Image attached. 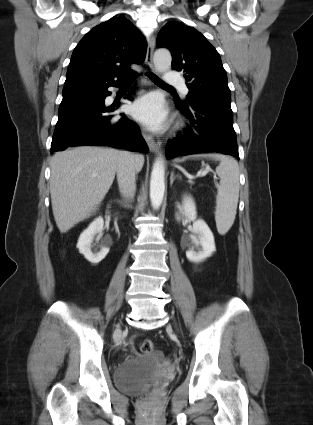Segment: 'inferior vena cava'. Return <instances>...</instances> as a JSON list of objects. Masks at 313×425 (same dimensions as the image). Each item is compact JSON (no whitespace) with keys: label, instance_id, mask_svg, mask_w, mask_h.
Returning <instances> with one entry per match:
<instances>
[{"label":"inferior vena cava","instance_id":"inferior-vena-cava-1","mask_svg":"<svg viewBox=\"0 0 313 425\" xmlns=\"http://www.w3.org/2000/svg\"><path fill=\"white\" fill-rule=\"evenodd\" d=\"M136 165L133 154H124L117 166V181L121 195L126 199H133L136 191Z\"/></svg>","mask_w":313,"mask_h":425}]
</instances>
